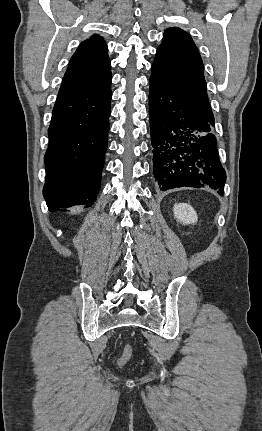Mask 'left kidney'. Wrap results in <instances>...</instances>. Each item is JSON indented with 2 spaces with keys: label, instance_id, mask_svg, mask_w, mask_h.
<instances>
[{
  "label": "left kidney",
  "instance_id": "5707ae66",
  "mask_svg": "<svg viewBox=\"0 0 262 431\" xmlns=\"http://www.w3.org/2000/svg\"><path fill=\"white\" fill-rule=\"evenodd\" d=\"M174 217L185 225L187 224H195L198 221V216L195 210L189 205L185 203L175 204L174 208Z\"/></svg>",
  "mask_w": 262,
  "mask_h": 431
}]
</instances>
